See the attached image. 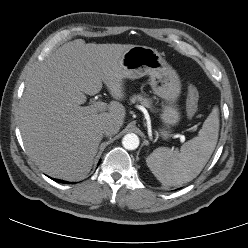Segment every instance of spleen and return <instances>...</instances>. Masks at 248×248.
Returning <instances> with one entry per match:
<instances>
[{
  "mask_svg": "<svg viewBox=\"0 0 248 248\" xmlns=\"http://www.w3.org/2000/svg\"><path fill=\"white\" fill-rule=\"evenodd\" d=\"M219 110L212 109L198 136L184 143L180 150L155 149L146 163L162 184L181 186L196 178L211 157L218 140Z\"/></svg>",
  "mask_w": 248,
  "mask_h": 248,
  "instance_id": "1",
  "label": "spleen"
}]
</instances>
